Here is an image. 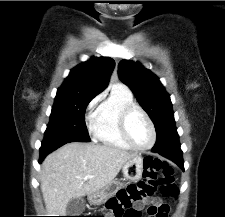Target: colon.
Instances as JSON below:
<instances>
[{
    "label": "colon",
    "instance_id": "colon-1",
    "mask_svg": "<svg viewBox=\"0 0 225 217\" xmlns=\"http://www.w3.org/2000/svg\"><path fill=\"white\" fill-rule=\"evenodd\" d=\"M143 166V180L137 185H129L126 189L119 191L117 196L109 201L107 208L112 217H140V212L134 205L145 197L152 196L158 187L165 197L178 196L172 167L152 156L144 158ZM168 211L169 207L166 204L148 208L150 217H167Z\"/></svg>",
    "mask_w": 225,
    "mask_h": 217
}]
</instances>
